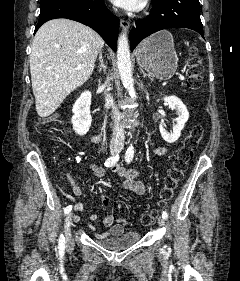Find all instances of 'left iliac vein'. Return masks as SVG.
I'll use <instances>...</instances> for the list:
<instances>
[{
  "instance_id": "4c4485c4",
  "label": "left iliac vein",
  "mask_w": 240,
  "mask_h": 281,
  "mask_svg": "<svg viewBox=\"0 0 240 281\" xmlns=\"http://www.w3.org/2000/svg\"><path fill=\"white\" fill-rule=\"evenodd\" d=\"M164 224H165L164 218L159 216L158 217V225L162 227V226H164Z\"/></svg>"
}]
</instances>
